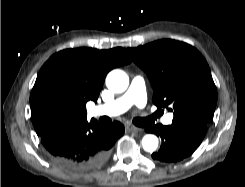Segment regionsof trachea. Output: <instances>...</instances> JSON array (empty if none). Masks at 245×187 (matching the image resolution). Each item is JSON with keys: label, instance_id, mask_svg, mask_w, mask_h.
<instances>
[{"label": "trachea", "instance_id": "3493384b", "mask_svg": "<svg viewBox=\"0 0 245 187\" xmlns=\"http://www.w3.org/2000/svg\"><path fill=\"white\" fill-rule=\"evenodd\" d=\"M154 118L153 116H150V117H147V118H134L133 119V123L136 125V126H139V127H146V126H149L150 124H152L154 122Z\"/></svg>", "mask_w": 245, "mask_h": 187}]
</instances>
